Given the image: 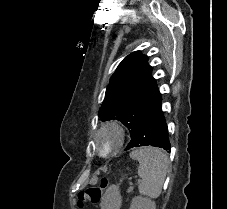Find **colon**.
<instances>
[{
	"instance_id": "colon-1",
	"label": "colon",
	"mask_w": 227,
	"mask_h": 209,
	"mask_svg": "<svg viewBox=\"0 0 227 209\" xmlns=\"http://www.w3.org/2000/svg\"><path fill=\"white\" fill-rule=\"evenodd\" d=\"M108 185L109 181L105 179L102 181L100 186H92L79 192L77 198L79 209H82L86 203H99L102 198L103 191L108 187Z\"/></svg>"
}]
</instances>
